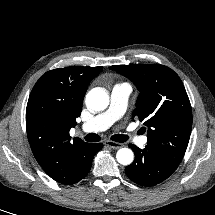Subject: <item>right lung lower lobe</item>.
<instances>
[{
  "label": "right lung lower lobe",
  "instance_id": "98d812e1",
  "mask_svg": "<svg viewBox=\"0 0 215 215\" xmlns=\"http://www.w3.org/2000/svg\"><path fill=\"white\" fill-rule=\"evenodd\" d=\"M102 147H103V145L101 143L90 144V146L86 150L85 155L80 159L79 171L70 184H74V183L80 181L81 179H83L84 177H86V175L90 171L94 155L100 149H102Z\"/></svg>",
  "mask_w": 215,
  "mask_h": 215
}]
</instances>
